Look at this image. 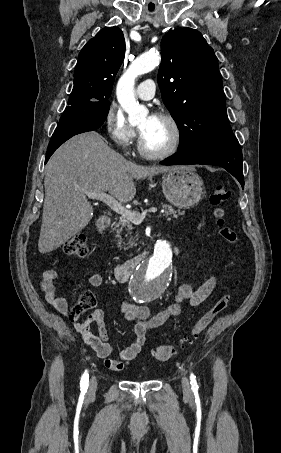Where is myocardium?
I'll use <instances>...</instances> for the list:
<instances>
[{"label": "myocardium", "instance_id": "1", "mask_svg": "<svg viewBox=\"0 0 281 453\" xmlns=\"http://www.w3.org/2000/svg\"><path fill=\"white\" fill-rule=\"evenodd\" d=\"M156 118L164 122L170 128L172 133V142L170 146L162 152H152L146 148L142 133L140 131L137 148L139 153L147 159L162 160L172 156L177 151L181 141V131L175 120L168 115L159 114Z\"/></svg>", "mask_w": 281, "mask_h": 453}]
</instances>
